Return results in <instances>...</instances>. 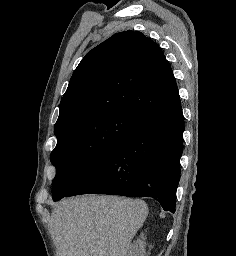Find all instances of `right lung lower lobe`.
<instances>
[{
  "label": "right lung lower lobe",
  "instance_id": "1",
  "mask_svg": "<svg viewBox=\"0 0 236 256\" xmlns=\"http://www.w3.org/2000/svg\"><path fill=\"white\" fill-rule=\"evenodd\" d=\"M184 118L180 97L143 119L66 196L152 197L175 212Z\"/></svg>",
  "mask_w": 236,
  "mask_h": 256
}]
</instances>
